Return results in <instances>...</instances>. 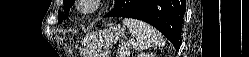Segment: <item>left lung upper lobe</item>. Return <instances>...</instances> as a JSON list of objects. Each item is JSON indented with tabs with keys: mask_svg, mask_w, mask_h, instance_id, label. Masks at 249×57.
Instances as JSON below:
<instances>
[{
	"mask_svg": "<svg viewBox=\"0 0 249 57\" xmlns=\"http://www.w3.org/2000/svg\"><path fill=\"white\" fill-rule=\"evenodd\" d=\"M75 0H64V12L68 15L69 14V9L73 5ZM67 16L64 15L63 13L59 12L58 13V22L61 23L64 19H66Z\"/></svg>",
	"mask_w": 249,
	"mask_h": 57,
	"instance_id": "5c2ea615",
	"label": "left lung upper lobe"
}]
</instances>
